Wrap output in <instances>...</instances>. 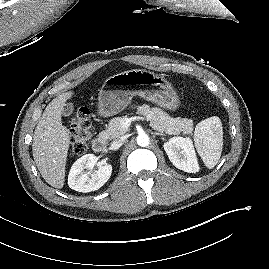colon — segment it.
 I'll return each instance as SVG.
<instances>
[{
	"label": "colon",
	"mask_w": 269,
	"mask_h": 269,
	"mask_svg": "<svg viewBox=\"0 0 269 269\" xmlns=\"http://www.w3.org/2000/svg\"><path fill=\"white\" fill-rule=\"evenodd\" d=\"M70 154L80 155L87 149L91 138L90 113L86 107L76 109L70 118Z\"/></svg>",
	"instance_id": "colon-1"
}]
</instances>
